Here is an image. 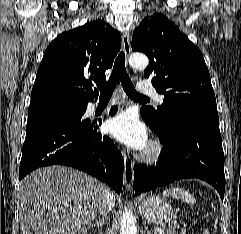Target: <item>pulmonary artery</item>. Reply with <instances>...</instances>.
I'll use <instances>...</instances> for the list:
<instances>
[{
  "label": "pulmonary artery",
  "instance_id": "obj_1",
  "mask_svg": "<svg viewBox=\"0 0 241 234\" xmlns=\"http://www.w3.org/2000/svg\"><path fill=\"white\" fill-rule=\"evenodd\" d=\"M138 92L139 94L141 95H149V96H152L154 97V99L157 101V102H162V96L159 95L156 90L154 89L153 86H151L150 84H145V83H142V84H139L138 86Z\"/></svg>",
  "mask_w": 241,
  "mask_h": 234
}]
</instances>
